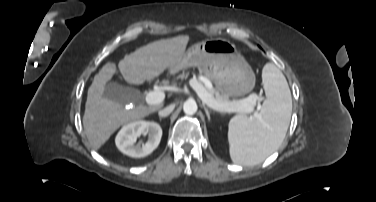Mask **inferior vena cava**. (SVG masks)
Listing matches in <instances>:
<instances>
[{
	"label": "inferior vena cava",
	"instance_id": "1",
	"mask_svg": "<svg viewBox=\"0 0 376 202\" xmlns=\"http://www.w3.org/2000/svg\"><path fill=\"white\" fill-rule=\"evenodd\" d=\"M173 110H174V105H169V106L159 110L158 115L160 117H167L168 115H170L172 113Z\"/></svg>",
	"mask_w": 376,
	"mask_h": 202
}]
</instances>
